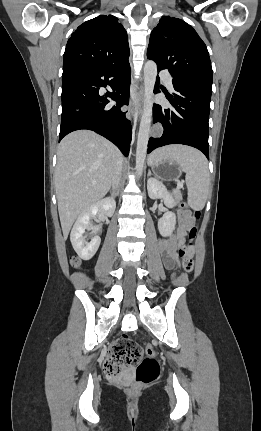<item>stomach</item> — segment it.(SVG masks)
<instances>
[{
    "label": "stomach",
    "mask_w": 261,
    "mask_h": 431,
    "mask_svg": "<svg viewBox=\"0 0 261 431\" xmlns=\"http://www.w3.org/2000/svg\"><path fill=\"white\" fill-rule=\"evenodd\" d=\"M156 177L164 181L177 180L181 176V168L175 162L161 160L151 165Z\"/></svg>",
    "instance_id": "0dacf381"
}]
</instances>
